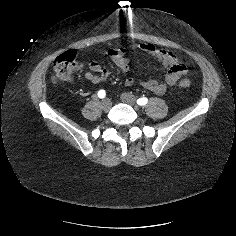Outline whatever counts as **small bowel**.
Returning <instances> with one entry per match:
<instances>
[{
	"instance_id": "obj_1",
	"label": "small bowel",
	"mask_w": 236,
	"mask_h": 236,
	"mask_svg": "<svg viewBox=\"0 0 236 236\" xmlns=\"http://www.w3.org/2000/svg\"><path fill=\"white\" fill-rule=\"evenodd\" d=\"M136 48L160 61L167 69L163 81L150 79L141 82V85L145 89L155 94L165 93L167 87L174 86L188 71L186 64L180 61L178 57L168 49L159 48L152 43H141L136 45ZM105 54L124 73L127 74L130 71L131 59L127 56L126 48H109L105 51ZM88 66L89 71L85 72L84 76L92 84H99L111 76V71L108 68L102 67L95 60H91ZM124 84L125 86H132L135 84V79L132 77H126Z\"/></svg>"
}]
</instances>
